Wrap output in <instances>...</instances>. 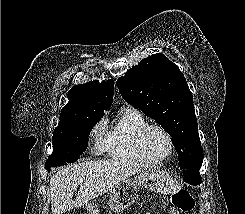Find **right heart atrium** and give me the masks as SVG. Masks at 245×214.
<instances>
[{
  "label": "right heart atrium",
  "instance_id": "obj_1",
  "mask_svg": "<svg viewBox=\"0 0 245 214\" xmlns=\"http://www.w3.org/2000/svg\"><path fill=\"white\" fill-rule=\"evenodd\" d=\"M105 132V124L103 121H99L91 131V137L93 139V151L99 153L102 149L103 134Z\"/></svg>",
  "mask_w": 245,
  "mask_h": 214
}]
</instances>
